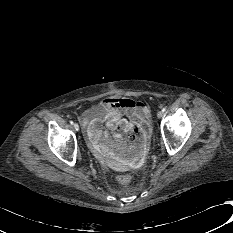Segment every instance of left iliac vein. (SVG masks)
Masks as SVG:
<instances>
[{
    "mask_svg": "<svg viewBox=\"0 0 233 233\" xmlns=\"http://www.w3.org/2000/svg\"><path fill=\"white\" fill-rule=\"evenodd\" d=\"M163 116V112L162 111H159L158 113H157V117L158 118H161Z\"/></svg>",
    "mask_w": 233,
    "mask_h": 233,
    "instance_id": "left-iliac-vein-1",
    "label": "left iliac vein"
}]
</instances>
